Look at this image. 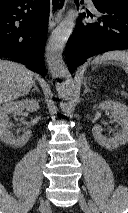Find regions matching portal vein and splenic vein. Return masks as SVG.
<instances>
[{"label":"portal vein and splenic vein","mask_w":128,"mask_h":213,"mask_svg":"<svg viewBox=\"0 0 128 213\" xmlns=\"http://www.w3.org/2000/svg\"><path fill=\"white\" fill-rule=\"evenodd\" d=\"M121 94L124 96H128V94L124 90L121 91Z\"/></svg>","instance_id":"1"}]
</instances>
